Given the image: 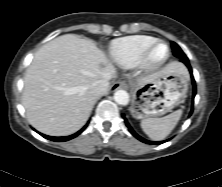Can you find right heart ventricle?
Here are the masks:
<instances>
[{"mask_svg":"<svg viewBox=\"0 0 222 187\" xmlns=\"http://www.w3.org/2000/svg\"><path fill=\"white\" fill-rule=\"evenodd\" d=\"M156 38L147 35H134L116 39L109 47L111 60L123 68L139 64L142 53Z\"/></svg>","mask_w":222,"mask_h":187,"instance_id":"e07e8e85","label":"right heart ventricle"}]
</instances>
